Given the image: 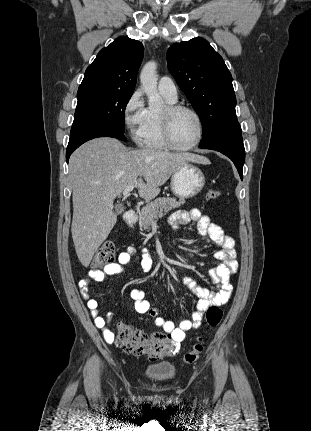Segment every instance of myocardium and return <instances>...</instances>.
<instances>
[{
	"instance_id": "obj_1",
	"label": "myocardium",
	"mask_w": 311,
	"mask_h": 431,
	"mask_svg": "<svg viewBox=\"0 0 311 431\" xmlns=\"http://www.w3.org/2000/svg\"><path fill=\"white\" fill-rule=\"evenodd\" d=\"M183 111H187L195 115V117L199 121L200 125V134L197 140L188 146H180L174 139L173 135V124L175 118ZM161 130H162V138L166 142V144L176 150L186 151L191 150L197 147L203 140L206 133V124L202 115L195 108L183 105V104H170L168 105L161 113Z\"/></svg>"
}]
</instances>
